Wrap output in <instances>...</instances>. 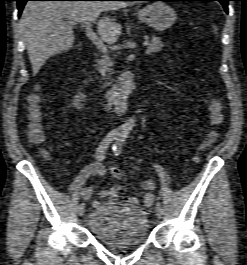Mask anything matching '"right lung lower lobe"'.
I'll return each mask as SVG.
<instances>
[{
  "mask_svg": "<svg viewBox=\"0 0 247 265\" xmlns=\"http://www.w3.org/2000/svg\"><path fill=\"white\" fill-rule=\"evenodd\" d=\"M18 3V15H21L27 1H130V0H16Z\"/></svg>",
  "mask_w": 247,
  "mask_h": 265,
  "instance_id": "obj_1",
  "label": "right lung lower lobe"
}]
</instances>
